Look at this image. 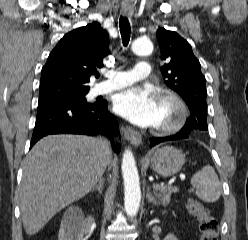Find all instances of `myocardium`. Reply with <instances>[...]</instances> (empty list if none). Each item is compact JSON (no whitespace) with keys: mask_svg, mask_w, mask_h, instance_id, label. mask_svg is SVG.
<instances>
[{"mask_svg":"<svg viewBox=\"0 0 248 240\" xmlns=\"http://www.w3.org/2000/svg\"><path fill=\"white\" fill-rule=\"evenodd\" d=\"M159 100L169 102L175 109V114L168 121L158 125L156 131L160 134H172L181 130L189 117V110L184 100L175 92L164 90L159 94Z\"/></svg>","mask_w":248,"mask_h":240,"instance_id":"1","label":"myocardium"}]
</instances>
